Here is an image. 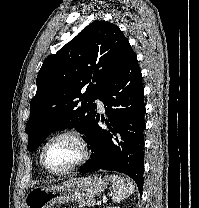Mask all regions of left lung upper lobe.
I'll list each match as a JSON object with an SVG mask.
<instances>
[{"label": "left lung upper lobe", "instance_id": "1", "mask_svg": "<svg viewBox=\"0 0 199 208\" xmlns=\"http://www.w3.org/2000/svg\"><path fill=\"white\" fill-rule=\"evenodd\" d=\"M134 55L116 25L94 21L49 56L30 102L27 150L37 149L51 132L62 128L75 127L88 138L96 116L92 102Z\"/></svg>", "mask_w": 199, "mask_h": 208}]
</instances>
